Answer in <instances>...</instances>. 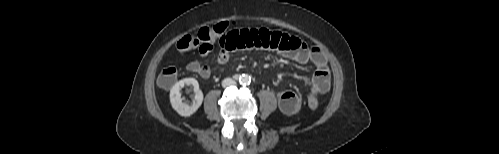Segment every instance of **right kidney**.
<instances>
[{
    "instance_id": "obj_1",
    "label": "right kidney",
    "mask_w": 499,
    "mask_h": 154,
    "mask_svg": "<svg viewBox=\"0 0 499 154\" xmlns=\"http://www.w3.org/2000/svg\"><path fill=\"white\" fill-rule=\"evenodd\" d=\"M190 85L193 87L195 92L194 100L191 105L182 102L180 90L185 86ZM170 102L173 109L181 116L189 117L194 114L203 102V93L199 89V83L194 78H184L171 88L170 90Z\"/></svg>"
}]
</instances>
